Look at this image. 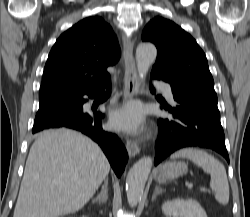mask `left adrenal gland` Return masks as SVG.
<instances>
[{
    "instance_id": "a2214340",
    "label": "left adrenal gland",
    "mask_w": 250,
    "mask_h": 217,
    "mask_svg": "<svg viewBox=\"0 0 250 217\" xmlns=\"http://www.w3.org/2000/svg\"><path fill=\"white\" fill-rule=\"evenodd\" d=\"M162 192H165V190L160 188L159 186H156L154 194L152 196V200H154L157 197V195L161 194Z\"/></svg>"
}]
</instances>
